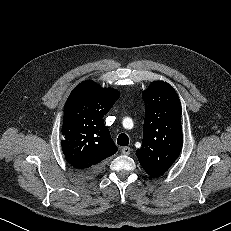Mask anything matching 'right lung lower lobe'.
<instances>
[{
	"label": "right lung lower lobe",
	"instance_id": "right-lung-lower-lobe-1",
	"mask_svg": "<svg viewBox=\"0 0 231 231\" xmlns=\"http://www.w3.org/2000/svg\"><path fill=\"white\" fill-rule=\"evenodd\" d=\"M101 167H95L86 171H79L81 174L86 175V176H90V175H94L96 174Z\"/></svg>",
	"mask_w": 231,
	"mask_h": 231
}]
</instances>
